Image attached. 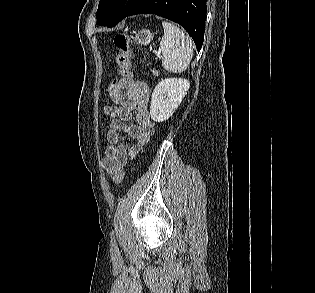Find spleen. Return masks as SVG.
Masks as SVG:
<instances>
[{"mask_svg": "<svg viewBox=\"0 0 315 293\" xmlns=\"http://www.w3.org/2000/svg\"><path fill=\"white\" fill-rule=\"evenodd\" d=\"M164 35L160 42L163 53L162 66L172 73H181L187 69L193 57V42L176 25L162 22Z\"/></svg>", "mask_w": 315, "mask_h": 293, "instance_id": "spleen-1", "label": "spleen"}]
</instances>
